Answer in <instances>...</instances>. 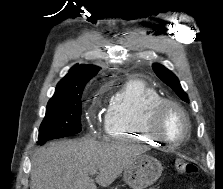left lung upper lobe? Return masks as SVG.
Returning a JSON list of instances; mask_svg holds the SVG:
<instances>
[{"mask_svg":"<svg viewBox=\"0 0 223 189\" xmlns=\"http://www.w3.org/2000/svg\"><path fill=\"white\" fill-rule=\"evenodd\" d=\"M152 68L165 84L172 88L183 101L188 102L187 94L181 88L178 78L170 70L160 64H153Z\"/></svg>","mask_w":223,"mask_h":189,"instance_id":"left-lung-upper-lobe-1","label":"left lung upper lobe"}]
</instances>
